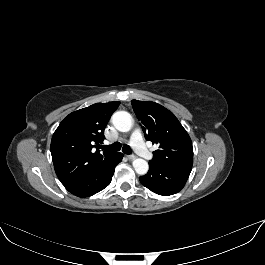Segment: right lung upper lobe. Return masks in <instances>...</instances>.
Wrapping results in <instances>:
<instances>
[{
	"mask_svg": "<svg viewBox=\"0 0 265 265\" xmlns=\"http://www.w3.org/2000/svg\"><path fill=\"white\" fill-rule=\"evenodd\" d=\"M119 104L96 103L70 113L59 124L51 140V155L56 175L63 185L114 154L95 151L93 147L103 143L105 127Z\"/></svg>",
	"mask_w": 265,
	"mask_h": 265,
	"instance_id": "right-lung-upper-lobe-1",
	"label": "right lung upper lobe"
}]
</instances>
